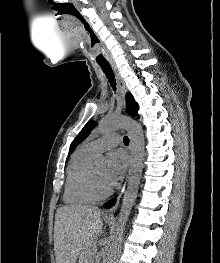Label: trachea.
I'll return each mask as SVG.
<instances>
[{
	"instance_id": "1",
	"label": "trachea",
	"mask_w": 220,
	"mask_h": 263,
	"mask_svg": "<svg viewBox=\"0 0 220 263\" xmlns=\"http://www.w3.org/2000/svg\"><path fill=\"white\" fill-rule=\"evenodd\" d=\"M100 67L103 70V72L105 73L111 87L113 88L114 91H116V81H115L114 73L112 71L111 66L109 64H105V65H100ZM123 142L125 145H128L129 144V138L127 136H124Z\"/></svg>"
}]
</instances>
